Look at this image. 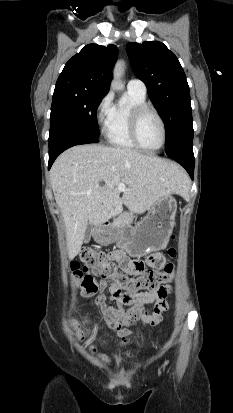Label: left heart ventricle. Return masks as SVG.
<instances>
[{"mask_svg": "<svg viewBox=\"0 0 233 413\" xmlns=\"http://www.w3.org/2000/svg\"><path fill=\"white\" fill-rule=\"evenodd\" d=\"M139 139L148 148L159 146L162 140L161 125L152 112H147L139 124Z\"/></svg>", "mask_w": 233, "mask_h": 413, "instance_id": "left-heart-ventricle-1", "label": "left heart ventricle"}]
</instances>
